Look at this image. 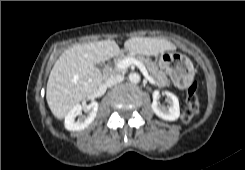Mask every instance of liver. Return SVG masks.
<instances>
[{
  "label": "liver",
  "mask_w": 245,
  "mask_h": 170,
  "mask_svg": "<svg viewBox=\"0 0 245 170\" xmlns=\"http://www.w3.org/2000/svg\"><path fill=\"white\" fill-rule=\"evenodd\" d=\"M174 48L173 43L162 38L134 37L124 43L126 51L143 55H157ZM119 53L120 48L113 40L76 44L66 49L55 62L47 82L46 100L53 115L63 119L90 96L103 81L96 64Z\"/></svg>",
  "instance_id": "6515ba94"
}]
</instances>
